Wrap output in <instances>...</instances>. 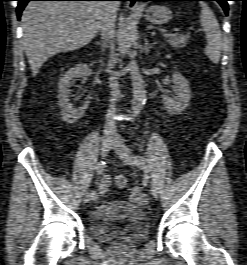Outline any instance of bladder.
I'll return each mask as SVG.
<instances>
[{"label":"bladder","mask_w":247,"mask_h":265,"mask_svg":"<svg viewBox=\"0 0 247 265\" xmlns=\"http://www.w3.org/2000/svg\"><path fill=\"white\" fill-rule=\"evenodd\" d=\"M89 226L94 239L105 244H135L149 233L144 208L118 200L100 203L90 213Z\"/></svg>","instance_id":"1"}]
</instances>
